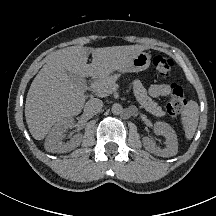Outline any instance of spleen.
<instances>
[{"label":"spleen","instance_id":"3e777b00","mask_svg":"<svg viewBox=\"0 0 216 216\" xmlns=\"http://www.w3.org/2000/svg\"><path fill=\"white\" fill-rule=\"evenodd\" d=\"M199 121V107L197 102L189 101L182 111L181 123L185 131V136L190 140L198 126Z\"/></svg>","mask_w":216,"mask_h":216}]
</instances>
